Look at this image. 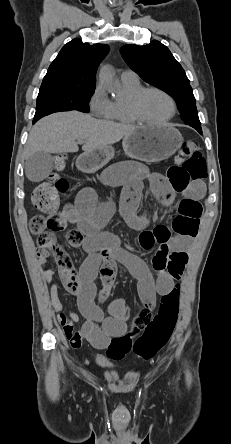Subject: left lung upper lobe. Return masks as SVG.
I'll return each instance as SVG.
<instances>
[{
  "instance_id": "left-lung-upper-lobe-1",
  "label": "left lung upper lobe",
  "mask_w": 231,
  "mask_h": 444,
  "mask_svg": "<svg viewBox=\"0 0 231 444\" xmlns=\"http://www.w3.org/2000/svg\"><path fill=\"white\" fill-rule=\"evenodd\" d=\"M121 53L130 68L143 80L174 98L184 122L200 133L201 123L190 82L170 50L153 40L144 46L125 45Z\"/></svg>"
}]
</instances>
